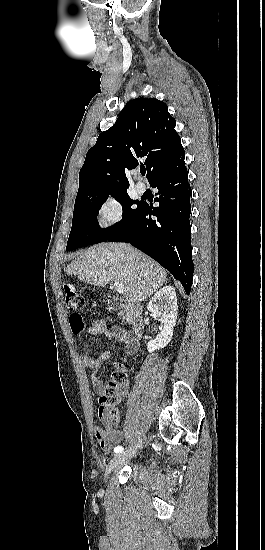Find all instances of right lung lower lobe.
Segmentation results:
<instances>
[{
  "instance_id": "right-lung-lower-lobe-1",
  "label": "right lung lower lobe",
  "mask_w": 265,
  "mask_h": 550,
  "mask_svg": "<svg viewBox=\"0 0 265 550\" xmlns=\"http://www.w3.org/2000/svg\"><path fill=\"white\" fill-rule=\"evenodd\" d=\"M184 159L182 148L149 180L158 189L155 201L159 206L142 203L134 219L107 241H122L140 249L168 269L189 294L193 279L189 222L192 190ZM152 215L157 220H152Z\"/></svg>"
}]
</instances>
